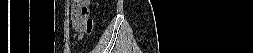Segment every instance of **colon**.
Returning a JSON list of instances; mask_svg holds the SVG:
<instances>
[{
	"label": "colon",
	"mask_w": 253,
	"mask_h": 53,
	"mask_svg": "<svg viewBox=\"0 0 253 53\" xmlns=\"http://www.w3.org/2000/svg\"><path fill=\"white\" fill-rule=\"evenodd\" d=\"M91 10L88 1H74L71 10L73 27L78 31H91L93 21L90 17Z\"/></svg>",
	"instance_id": "colon-1"
}]
</instances>
